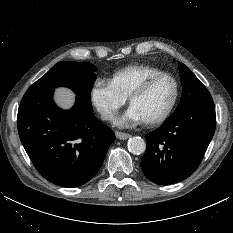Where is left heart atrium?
Here are the masks:
<instances>
[{"instance_id": "39dd6f15", "label": "left heart atrium", "mask_w": 233, "mask_h": 233, "mask_svg": "<svg viewBox=\"0 0 233 233\" xmlns=\"http://www.w3.org/2000/svg\"><path fill=\"white\" fill-rule=\"evenodd\" d=\"M143 121L144 119L141 114L133 106H130L126 113L119 119L118 123L119 125H128Z\"/></svg>"}]
</instances>
